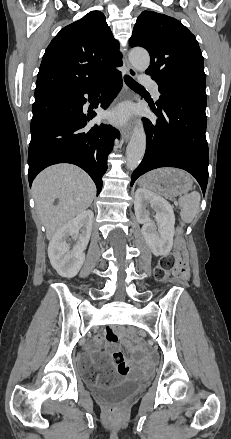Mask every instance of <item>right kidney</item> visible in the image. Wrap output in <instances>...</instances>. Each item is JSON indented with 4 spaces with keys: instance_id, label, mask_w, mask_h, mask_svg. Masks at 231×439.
<instances>
[{
    "instance_id": "ca27d5eb",
    "label": "right kidney",
    "mask_w": 231,
    "mask_h": 439,
    "mask_svg": "<svg viewBox=\"0 0 231 439\" xmlns=\"http://www.w3.org/2000/svg\"><path fill=\"white\" fill-rule=\"evenodd\" d=\"M93 218V212L86 210L60 228L51 239L48 256L51 265L62 277L73 278L80 271L85 260L84 250L90 239ZM80 229L79 239L72 251H69L67 239Z\"/></svg>"
}]
</instances>
